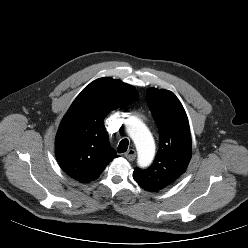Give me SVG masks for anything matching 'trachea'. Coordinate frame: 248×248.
I'll return each instance as SVG.
<instances>
[{"instance_id":"trachea-1","label":"trachea","mask_w":248,"mask_h":248,"mask_svg":"<svg viewBox=\"0 0 248 248\" xmlns=\"http://www.w3.org/2000/svg\"><path fill=\"white\" fill-rule=\"evenodd\" d=\"M129 145L128 139H122L118 145V153L126 152Z\"/></svg>"}]
</instances>
